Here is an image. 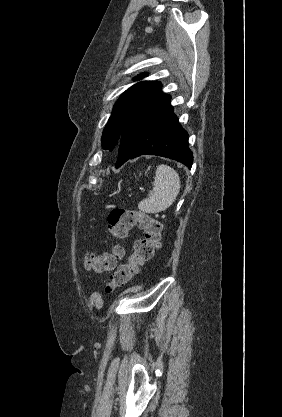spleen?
<instances>
[{"mask_svg": "<svg viewBox=\"0 0 282 417\" xmlns=\"http://www.w3.org/2000/svg\"><path fill=\"white\" fill-rule=\"evenodd\" d=\"M180 178L178 172L168 166L159 164L156 168L153 190H150L148 198H143L138 204V209L143 213H161L173 204L180 190Z\"/></svg>", "mask_w": 282, "mask_h": 417, "instance_id": "spleen-1", "label": "spleen"}]
</instances>
